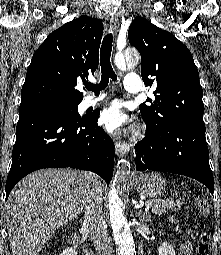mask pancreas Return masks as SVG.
Segmentation results:
<instances>
[{"mask_svg": "<svg viewBox=\"0 0 221 255\" xmlns=\"http://www.w3.org/2000/svg\"><path fill=\"white\" fill-rule=\"evenodd\" d=\"M146 205L150 207L152 213L161 215L171 209L180 210L182 203L180 201L174 202L173 200L150 199L146 201Z\"/></svg>", "mask_w": 221, "mask_h": 255, "instance_id": "obj_1", "label": "pancreas"}]
</instances>
